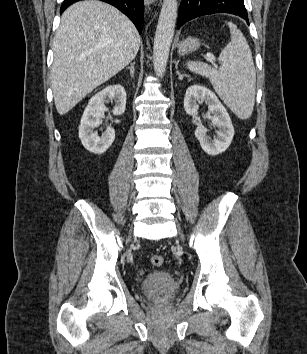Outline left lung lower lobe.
I'll use <instances>...</instances> for the list:
<instances>
[{"label": "left lung lower lobe", "instance_id": "0a47b994", "mask_svg": "<svg viewBox=\"0 0 307 354\" xmlns=\"http://www.w3.org/2000/svg\"><path fill=\"white\" fill-rule=\"evenodd\" d=\"M221 12L240 16L249 24L244 0H182L179 8L178 28L193 18Z\"/></svg>", "mask_w": 307, "mask_h": 354}]
</instances>
